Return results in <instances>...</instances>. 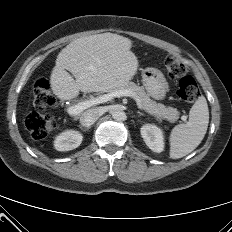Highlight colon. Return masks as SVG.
I'll return each instance as SVG.
<instances>
[{
  "mask_svg": "<svg viewBox=\"0 0 232 232\" xmlns=\"http://www.w3.org/2000/svg\"><path fill=\"white\" fill-rule=\"evenodd\" d=\"M164 67L172 79L180 78L177 96L185 102H195L200 96V89L195 79L186 75V66L174 55H167ZM34 111L30 112L24 121L25 127L36 140L44 139L53 130L55 120L43 112L56 104V99L50 91L46 80H38L33 86Z\"/></svg>",
  "mask_w": 232,
  "mask_h": 232,
  "instance_id": "colon-1",
  "label": "colon"
}]
</instances>
